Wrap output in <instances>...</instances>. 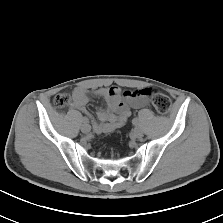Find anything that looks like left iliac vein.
Segmentation results:
<instances>
[{
	"instance_id": "obj_1",
	"label": "left iliac vein",
	"mask_w": 223,
	"mask_h": 223,
	"mask_svg": "<svg viewBox=\"0 0 223 223\" xmlns=\"http://www.w3.org/2000/svg\"><path fill=\"white\" fill-rule=\"evenodd\" d=\"M132 136L134 138H141L143 136L142 129L139 128V127L134 128L133 131H132Z\"/></svg>"
}]
</instances>
